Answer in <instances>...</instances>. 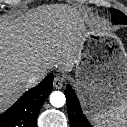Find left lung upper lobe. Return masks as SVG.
Returning a JSON list of instances; mask_svg holds the SVG:
<instances>
[{
	"label": "left lung upper lobe",
	"instance_id": "1",
	"mask_svg": "<svg viewBox=\"0 0 127 127\" xmlns=\"http://www.w3.org/2000/svg\"><path fill=\"white\" fill-rule=\"evenodd\" d=\"M112 13V22L114 24H127V17L116 9H110Z\"/></svg>",
	"mask_w": 127,
	"mask_h": 127
}]
</instances>
